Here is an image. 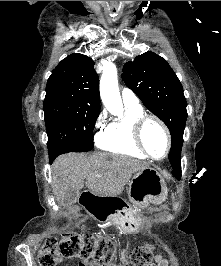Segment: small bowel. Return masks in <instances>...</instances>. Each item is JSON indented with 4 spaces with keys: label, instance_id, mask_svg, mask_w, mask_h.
<instances>
[{
    "label": "small bowel",
    "instance_id": "obj_1",
    "mask_svg": "<svg viewBox=\"0 0 221 266\" xmlns=\"http://www.w3.org/2000/svg\"><path fill=\"white\" fill-rule=\"evenodd\" d=\"M122 255V266H127V260L125 258L126 252L123 250ZM79 266H101L98 262L95 261H83ZM151 266H168V262L160 255H155L154 263Z\"/></svg>",
    "mask_w": 221,
    "mask_h": 266
}]
</instances>
